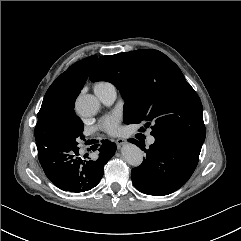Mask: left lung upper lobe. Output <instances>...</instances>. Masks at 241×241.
I'll list each match as a JSON object with an SVG mask.
<instances>
[{"label":"left lung upper lobe","mask_w":241,"mask_h":241,"mask_svg":"<svg viewBox=\"0 0 241 241\" xmlns=\"http://www.w3.org/2000/svg\"><path fill=\"white\" fill-rule=\"evenodd\" d=\"M90 80L108 81L119 89L126 124L150 125L152 135L171 134L203 144L206 129L199 96L179 67L157 50L141 49L102 56Z\"/></svg>","instance_id":"left-lung-upper-lobe-1"}]
</instances>
